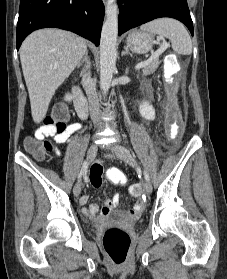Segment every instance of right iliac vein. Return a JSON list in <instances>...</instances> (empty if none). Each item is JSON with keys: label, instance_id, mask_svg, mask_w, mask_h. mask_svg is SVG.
Returning <instances> with one entry per match:
<instances>
[{"label": "right iliac vein", "instance_id": "obj_1", "mask_svg": "<svg viewBox=\"0 0 227 279\" xmlns=\"http://www.w3.org/2000/svg\"><path fill=\"white\" fill-rule=\"evenodd\" d=\"M98 147L96 144H92L87 152V158H86V163L89 164L93 161V159L95 158V155L97 153ZM81 187H82V183L81 181L77 182L76 185L74 186L73 189V193L76 197L79 196L80 192H81Z\"/></svg>", "mask_w": 227, "mask_h": 279}]
</instances>
